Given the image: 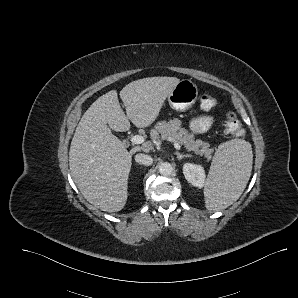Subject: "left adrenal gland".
<instances>
[{
  "mask_svg": "<svg viewBox=\"0 0 298 298\" xmlns=\"http://www.w3.org/2000/svg\"><path fill=\"white\" fill-rule=\"evenodd\" d=\"M175 155L177 156V158L182 159L184 157H189L191 156L190 153H179V152H175Z\"/></svg>",
  "mask_w": 298,
  "mask_h": 298,
  "instance_id": "obj_1",
  "label": "left adrenal gland"
}]
</instances>
